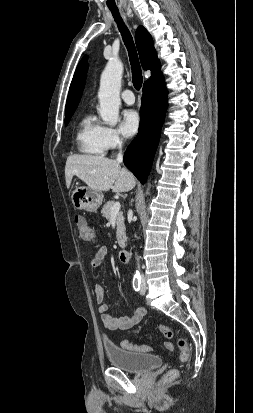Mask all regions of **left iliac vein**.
Wrapping results in <instances>:
<instances>
[{
  "instance_id": "left-iliac-vein-1",
  "label": "left iliac vein",
  "mask_w": 253,
  "mask_h": 413,
  "mask_svg": "<svg viewBox=\"0 0 253 413\" xmlns=\"http://www.w3.org/2000/svg\"><path fill=\"white\" fill-rule=\"evenodd\" d=\"M146 289H147V285H146L145 280L143 279V280H142V284H141L140 294H141V295H144V294L146 293Z\"/></svg>"
}]
</instances>
